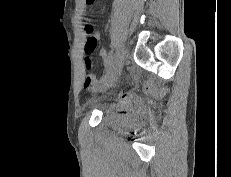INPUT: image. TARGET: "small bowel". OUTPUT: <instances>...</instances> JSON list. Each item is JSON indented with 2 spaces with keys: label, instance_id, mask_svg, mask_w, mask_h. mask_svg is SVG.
<instances>
[{
  "label": "small bowel",
  "instance_id": "small-bowel-1",
  "mask_svg": "<svg viewBox=\"0 0 231 177\" xmlns=\"http://www.w3.org/2000/svg\"><path fill=\"white\" fill-rule=\"evenodd\" d=\"M94 36L96 37V34H94ZM100 54H101L102 57H104L106 59V61L108 60L104 50H102L100 52ZM84 65H85V68L87 70H90L92 68V60H91V58L89 56H86L84 58ZM84 85L88 89L95 88V86L97 85V80H96L95 76L93 74H90V73L87 74L86 78H85Z\"/></svg>",
  "mask_w": 231,
  "mask_h": 177
}]
</instances>
